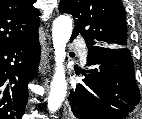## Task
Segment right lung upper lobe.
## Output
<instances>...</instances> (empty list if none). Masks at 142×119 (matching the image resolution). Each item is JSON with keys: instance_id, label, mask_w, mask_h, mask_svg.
Segmentation results:
<instances>
[{"instance_id": "obj_1", "label": "right lung upper lobe", "mask_w": 142, "mask_h": 119, "mask_svg": "<svg viewBox=\"0 0 142 119\" xmlns=\"http://www.w3.org/2000/svg\"><path fill=\"white\" fill-rule=\"evenodd\" d=\"M35 0H0V48L15 45L38 32Z\"/></svg>"}]
</instances>
